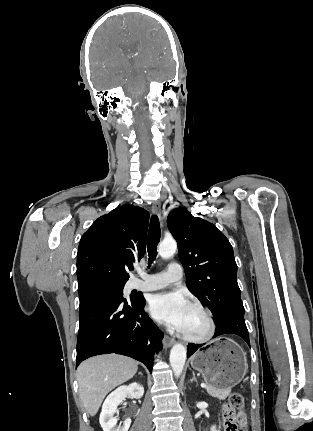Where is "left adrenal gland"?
Segmentation results:
<instances>
[{
	"label": "left adrenal gland",
	"instance_id": "left-adrenal-gland-1",
	"mask_svg": "<svg viewBox=\"0 0 313 431\" xmlns=\"http://www.w3.org/2000/svg\"><path fill=\"white\" fill-rule=\"evenodd\" d=\"M192 374H193V377L190 379V382L195 381V382L197 383V379H196V377H195V373H194V372H192Z\"/></svg>",
	"mask_w": 313,
	"mask_h": 431
}]
</instances>
